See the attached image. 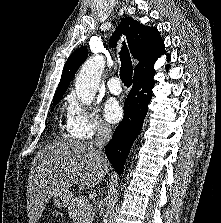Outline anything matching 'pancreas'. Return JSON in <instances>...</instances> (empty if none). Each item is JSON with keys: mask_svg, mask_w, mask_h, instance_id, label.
I'll return each instance as SVG.
<instances>
[{"mask_svg": "<svg viewBox=\"0 0 221 223\" xmlns=\"http://www.w3.org/2000/svg\"><path fill=\"white\" fill-rule=\"evenodd\" d=\"M68 214L73 223H92L94 210L84 197L73 198L68 206Z\"/></svg>", "mask_w": 221, "mask_h": 223, "instance_id": "cf45deb5", "label": "pancreas"}]
</instances>
